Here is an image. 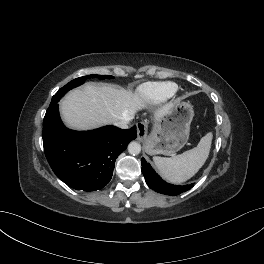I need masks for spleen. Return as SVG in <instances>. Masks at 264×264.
<instances>
[{
    "label": "spleen",
    "instance_id": "spleen-1",
    "mask_svg": "<svg viewBox=\"0 0 264 264\" xmlns=\"http://www.w3.org/2000/svg\"><path fill=\"white\" fill-rule=\"evenodd\" d=\"M212 133L201 138L197 147L170 158L154 157V163L164 179L171 183L180 184L193 177L204 165L208 158Z\"/></svg>",
    "mask_w": 264,
    "mask_h": 264
}]
</instances>
